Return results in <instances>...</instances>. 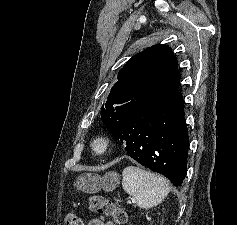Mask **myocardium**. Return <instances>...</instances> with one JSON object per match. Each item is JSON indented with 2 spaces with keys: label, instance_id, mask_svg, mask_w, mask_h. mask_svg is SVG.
I'll use <instances>...</instances> for the list:
<instances>
[{
  "label": "myocardium",
  "instance_id": "obj_1",
  "mask_svg": "<svg viewBox=\"0 0 237 225\" xmlns=\"http://www.w3.org/2000/svg\"><path fill=\"white\" fill-rule=\"evenodd\" d=\"M92 154L101 157L110 149V140L105 136H96L90 144Z\"/></svg>",
  "mask_w": 237,
  "mask_h": 225
}]
</instances>
